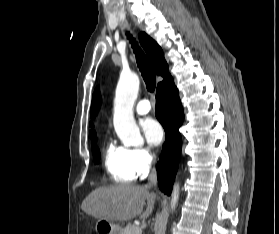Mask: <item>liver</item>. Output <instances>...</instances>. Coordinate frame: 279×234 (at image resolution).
<instances>
[{
    "label": "liver",
    "instance_id": "obj_1",
    "mask_svg": "<svg viewBox=\"0 0 279 234\" xmlns=\"http://www.w3.org/2000/svg\"><path fill=\"white\" fill-rule=\"evenodd\" d=\"M155 199L148 186L123 184L99 187L84 199L81 209L96 219L109 222L128 221L136 216L146 219L153 211ZM145 201L147 208L143 212Z\"/></svg>",
    "mask_w": 279,
    "mask_h": 234
}]
</instances>
